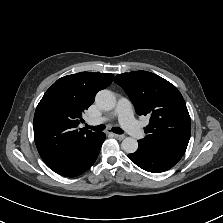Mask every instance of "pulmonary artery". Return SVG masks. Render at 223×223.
Instances as JSON below:
<instances>
[{
	"instance_id": "pulmonary-artery-1",
	"label": "pulmonary artery",
	"mask_w": 223,
	"mask_h": 223,
	"mask_svg": "<svg viewBox=\"0 0 223 223\" xmlns=\"http://www.w3.org/2000/svg\"><path fill=\"white\" fill-rule=\"evenodd\" d=\"M111 118H118L120 124L124 127V129L130 133L134 138L144 139L145 133L143 129L137 125L131 103L128 99L121 97L114 108V110L110 113L109 116H104L99 119H90L88 123L90 125H97L99 123H104Z\"/></svg>"
}]
</instances>
